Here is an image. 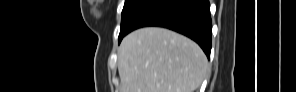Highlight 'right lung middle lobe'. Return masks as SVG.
I'll list each match as a JSON object with an SVG mask.
<instances>
[{"mask_svg": "<svg viewBox=\"0 0 296 92\" xmlns=\"http://www.w3.org/2000/svg\"><path fill=\"white\" fill-rule=\"evenodd\" d=\"M154 0H126L123 11L121 30L119 34V43L122 38L131 31L132 25L138 16L153 2Z\"/></svg>", "mask_w": 296, "mask_h": 92, "instance_id": "right-lung-middle-lobe-1", "label": "right lung middle lobe"}]
</instances>
